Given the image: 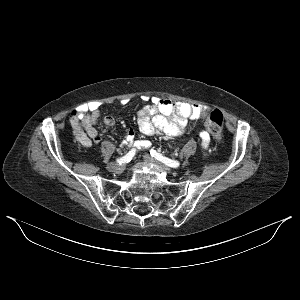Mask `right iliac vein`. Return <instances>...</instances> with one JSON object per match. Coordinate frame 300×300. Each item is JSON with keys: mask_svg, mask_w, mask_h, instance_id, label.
<instances>
[{"mask_svg": "<svg viewBox=\"0 0 300 300\" xmlns=\"http://www.w3.org/2000/svg\"><path fill=\"white\" fill-rule=\"evenodd\" d=\"M108 170L115 172V173H120L124 169V165L119 164V163H110L107 165Z\"/></svg>", "mask_w": 300, "mask_h": 300, "instance_id": "1", "label": "right iliac vein"}]
</instances>
